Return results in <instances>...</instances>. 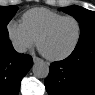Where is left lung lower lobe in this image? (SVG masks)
Listing matches in <instances>:
<instances>
[{
    "label": "left lung lower lobe",
    "mask_w": 95,
    "mask_h": 95,
    "mask_svg": "<svg viewBox=\"0 0 95 95\" xmlns=\"http://www.w3.org/2000/svg\"><path fill=\"white\" fill-rule=\"evenodd\" d=\"M45 87L49 95H95V38L78 44L63 61L52 63Z\"/></svg>",
    "instance_id": "obj_1"
}]
</instances>
